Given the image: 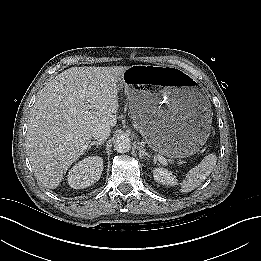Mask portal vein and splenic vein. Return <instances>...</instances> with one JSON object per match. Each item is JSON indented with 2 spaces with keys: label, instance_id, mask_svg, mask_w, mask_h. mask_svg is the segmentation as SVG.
Masks as SVG:
<instances>
[{
  "label": "portal vein and splenic vein",
  "instance_id": "18ae733b",
  "mask_svg": "<svg viewBox=\"0 0 261 261\" xmlns=\"http://www.w3.org/2000/svg\"><path fill=\"white\" fill-rule=\"evenodd\" d=\"M157 159L162 163V164H167V159L163 157L162 155L158 154Z\"/></svg>",
  "mask_w": 261,
  "mask_h": 261
}]
</instances>
